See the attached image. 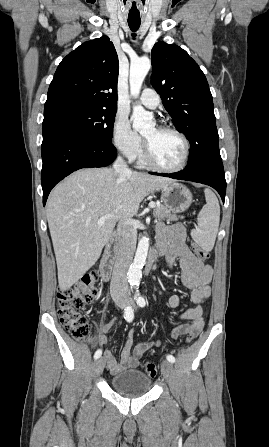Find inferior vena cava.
<instances>
[{
    "mask_svg": "<svg viewBox=\"0 0 269 447\" xmlns=\"http://www.w3.org/2000/svg\"><path fill=\"white\" fill-rule=\"evenodd\" d=\"M113 168L116 176L132 174L121 156L116 158ZM117 231L121 235V247L113 267L110 293L111 295H122V293L128 295V269L136 249L137 229L131 218H123L117 225Z\"/></svg>",
    "mask_w": 269,
    "mask_h": 447,
    "instance_id": "inferior-vena-cava-1",
    "label": "inferior vena cava"
}]
</instances>
